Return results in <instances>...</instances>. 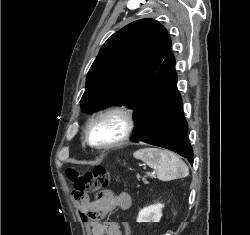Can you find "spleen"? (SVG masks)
<instances>
[{"label":"spleen","mask_w":250,"mask_h":235,"mask_svg":"<svg viewBox=\"0 0 250 235\" xmlns=\"http://www.w3.org/2000/svg\"><path fill=\"white\" fill-rule=\"evenodd\" d=\"M134 157L147 163L156 171L162 181L187 177L189 169L176 154L158 148H144L134 153Z\"/></svg>","instance_id":"spleen-1"}]
</instances>
